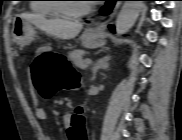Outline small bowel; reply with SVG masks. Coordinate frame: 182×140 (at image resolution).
Segmentation results:
<instances>
[{
    "mask_svg": "<svg viewBox=\"0 0 182 140\" xmlns=\"http://www.w3.org/2000/svg\"><path fill=\"white\" fill-rule=\"evenodd\" d=\"M33 103L35 106V116L39 121H44L47 118V113L43 107L40 106L38 99L34 96ZM70 116H64V124L68 127ZM45 140H52L49 135H46Z\"/></svg>",
    "mask_w": 182,
    "mask_h": 140,
    "instance_id": "1",
    "label": "small bowel"
}]
</instances>
